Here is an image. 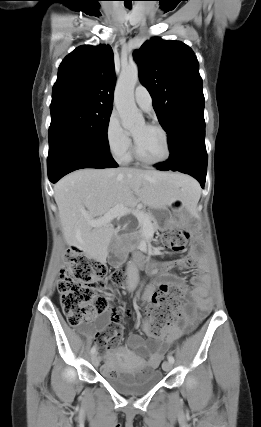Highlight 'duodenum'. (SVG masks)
I'll return each instance as SVG.
<instances>
[{"instance_id":"obj_1","label":"duodenum","mask_w":261,"mask_h":427,"mask_svg":"<svg viewBox=\"0 0 261 427\" xmlns=\"http://www.w3.org/2000/svg\"><path fill=\"white\" fill-rule=\"evenodd\" d=\"M135 263L141 268H148L150 266L149 260L139 254L135 256Z\"/></svg>"}]
</instances>
